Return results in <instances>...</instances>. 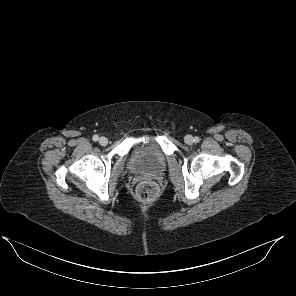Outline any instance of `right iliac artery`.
Wrapping results in <instances>:
<instances>
[{
  "label": "right iliac artery",
  "mask_w": 296,
  "mask_h": 296,
  "mask_svg": "<svg viewBox=\"0 0 296 296\" xmlns=\"http://www.w3.org/2000/svg\"><path fill=\"white\" fill-rule=\"evenodd\" d=\"M92 139H93V141H98L99 137H98V135H94Z\"/></svg>",
  "instance_id": "82829eb1"
}]
</instances>
